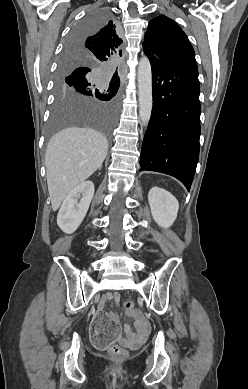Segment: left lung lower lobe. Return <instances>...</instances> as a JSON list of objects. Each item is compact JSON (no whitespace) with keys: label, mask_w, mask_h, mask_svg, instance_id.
<instances>
[{"label":"left lung lower lobe","mask_w":248,"mask_h":389,"mask_svg":"<svg viewBox=\"0 0 248 389\" xmlns=\"http://www.w3.org/2000/svg\"><path fill=\"white\" fill-rule=\"evenodd\" d=\"M144 52L152 68L153 108L140 171L174 176L190 190L199 159L201 108L196 60H163Z\"/></svg>","instance_id":"obj_1"}]
</instances>
